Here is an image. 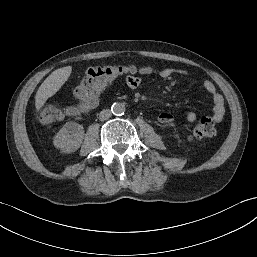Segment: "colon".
<instances>
[{
	"instance_id": "1",
	"label": "colon",
	"mask_w": 257,
	"mask_h": 257,
	"mask_svg": "<svg viewBox=\"0 0 257 257\" xmlns=\"http://www.w3.org/2000/svg\"><path fill=\"white\" fill-rule=\"evenodd\" d=\"M133 66L101 65L89 68L77 85L74 95L76 107L71 108L75 113L80 109L96 106L97 96L101 89L107 86L115 77L136 73ZM147 72L148 69H140ZM35 115L41 123H50L62 118L61 109L54 104H44L35 108ZM216 135L215 121L209 117L202 118L191 130V140L211 138Z\"/></svg>"
}]
</instances>
